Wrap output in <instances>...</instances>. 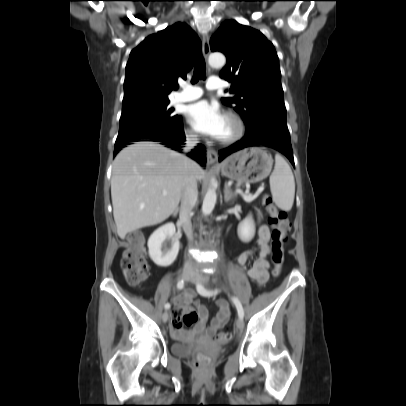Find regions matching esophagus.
Masks as SVG:
<instances>
[{"label": "esophagus", "instance_id": "esophagus-1", "mask_svg": "<svg viewBox=\"0 0 406 406\" xmlns=\"http://www.w3.org/2000/svg\"><path fill=\"white\" fill-rule=\"evenodd\" d=\"M202 52H203L205 59H207V57L210 53L209 35L207 32H205L202 37ZM217 160H218V153L216 152V150L208 148L207 149V163L215 164L217 162Z\"/></svg>", "mask_w": 406, "mask_h": 406}]
</instances>
